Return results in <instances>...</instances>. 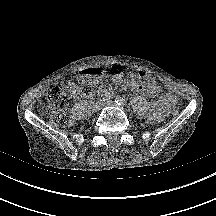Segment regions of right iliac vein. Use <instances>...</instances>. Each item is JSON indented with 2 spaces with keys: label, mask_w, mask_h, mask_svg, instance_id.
<instances>
[{
  "label": "right iliac vein",
  "mask_w": 216,
  "mask_h": 216,
  "mask_svg": "<svg viewBox=\"0 0 216 216\" xmlns=\"http://www.w3.org/2000/svg\"><path fill=\"white\" fill-rule=\"evenodd\" d=\"M103 107V102L98 101L93 105V112H98Z\"/></svg>",
  "instance_id": "1"
}]
</instances>
